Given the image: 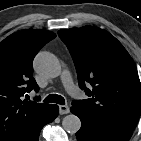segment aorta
I'll use <instances>...</instances> for the list:
<instances>
[{
    "instance_id": "obj_1",
    "label": "aorta",
    "mask_w": 141,
    "mask_h": 141,
    "mask_svg": "<svg viewBox=\"0 0 141 141\" xmlns=\"http://www.w3.org/2000/svg\"><path fill=\"white\" fill-rule=\"evenodd\" d=\"M34 69L46 78H56L61 74V65L55 55L50 52H39L34 59ZM62 126L68 133H76L81 128L78 116L69 114L63 118Z\"/></svg>"
}]
</instances>
